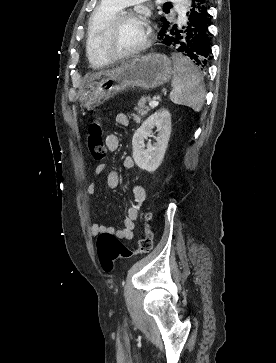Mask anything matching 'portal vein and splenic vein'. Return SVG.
I'll return each mask as SVG.
<instances>
[{"label":"portal vein and splenic vein","mask_w":276,"mask_h":363,"mask_svg":"<svg viewBox=\"0 0 276 363\" xmlns=\"http://www.w3.org/2000/svg\"><path fill=\"white\" fill-rule=\"evenodd\" d=\"M159 104V102L158 101H156V100H152V101H150L149 102V106H151V107H155V106H157Z\"/></svg>","instance_id":"obj_1"}]
</instances>
